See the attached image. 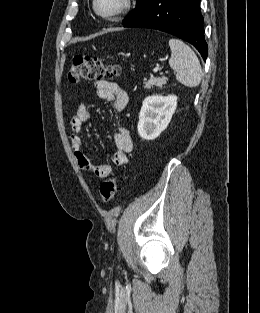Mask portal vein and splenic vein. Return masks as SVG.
I'll use <instances>...</instances> for the list:
<instances>
[{"mask_svg": "<svg viewBox=\"0 0 260 313\" xmlns=\"http://www.w3.org/2000/svg\"><path fill=\"white\" fill-rule=\"evenodd\" d=\"M158 69H159V68H155V69H154V72L158 71Z\"/></svg>", "mask_w": 260, "mask_h": 313, "instance_id": "portal-vein-and-splenic-vein-1", "label": "portal vein and splenic vein"}]
</instances>
